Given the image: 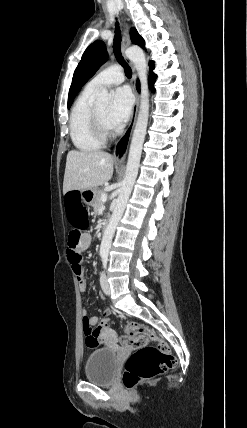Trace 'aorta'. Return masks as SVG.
Listing matches in <instances>:
<instances>
[{
	"label": "aorta",
	"mask_w": 247,
	"mask_h": 428,
	"mask_svg": "<svg viewBox=\"0 0 247 428\" xmlns=\"http://www.w3.org/2000/svg\"><path fill=\"white\" fill-rule=\"evenodd\" d=\"M126 56L132 61L137 71L141 84L140 106L136 120L129 155L126 165L125 177L122 183L120 194L116 201L109 224L107 225L100 246V256L107 257L111 247L112 239L116 227L124 213L126 204L131 194L134 182L138 174L143 142L149 118L150 94L148 87V68L143 50L138 46H132L126 51ZM110 94L107 89H102L97 97L98 104L107 106L110 101Z\"/></svg>",
	"instance_id": "1"
}]
</instances>
